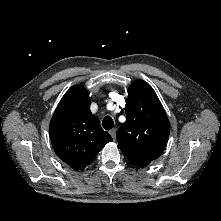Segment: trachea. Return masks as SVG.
Returning a JSON list of instances; mask_svg holds the SVG:
<instances>
[{
    "label": "trachea",
    "instance_id": "trachea-1",
    "mask_svg": "<svg viewBox=\"0 0 221 221\" xmlns=\"http://www.w3.org/2000/svg\"><path fill=\"white\" fill-rule=\"evenodd\" d=\"M102 125L105 130H109L114 127V121L110 116H106L102 121Z\"/></svg>",
    "mask_w": 221,
    "mask_h": 221
}]
</instances>
